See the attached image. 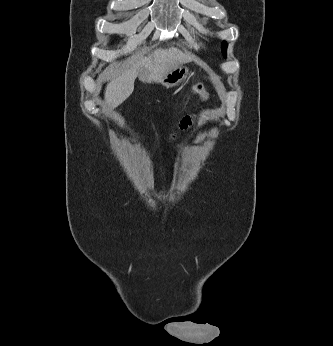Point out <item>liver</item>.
Here are the masks:
<instances>
[{
	"label": "liver",
	"mask_w": 333,
	"mask_h": 346,
	"mask_svg": "<svg viewBox=\"0 0 333 346\" xmlns=\"http://www.w3.org/2000/svg\"><path fill=\"white\" fill-rule=\"evenodd\" d=\"M189 58L177 48L158 49L140 58L130 69L114 77L107 84L105 88L107 113H111L132 94L137 77L143 82L158 83L168 72L182 65Z\"/></svg>",
	"instance_id": "liver-1"
}]
</instances>
